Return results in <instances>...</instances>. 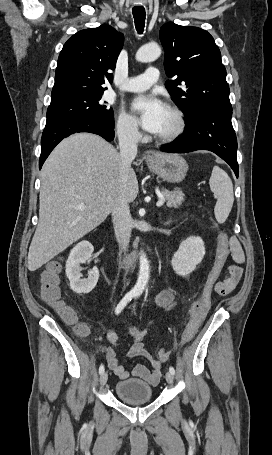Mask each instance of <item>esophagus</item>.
I'll return each mask as SVG.
<instances>
[{
  "instance_id": "esophagus-1",
  "label": "esophagus",
  "mask_w": 272,
  "mask_h": 455,
  "mask_svg": "<svg viewBox=\"0 0 272 455\" xmlns=\"http://www.w3.org/2000/svg\"><path fill=\"white\" fill-rule=\"evenodd\" d=\"M155 155H156V153L154 151L150 150L145 153V158L147 160H151L155 157Z\"/></svg>"
}]
</instances>
